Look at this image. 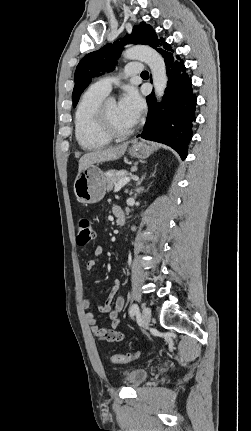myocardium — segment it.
Masks as SVG:
<instances>
[{"label": "myocardium", "instance_id": "obj_1", "mask_svg": "<svg viewBox=\"0 0 251 431\" xmlns=\"http://www.w3.org/2000/svg\"><path fill=\"white\" fill-rule=\"evenodd\" d=\"M110 99L104 100L97 111V127L99 131L110 139L124 138L131 135L135 130V125L126 130H119L113 126L108 114V103Z\"/></svg>", "mask_w": 251, "mask_h": 431}]
</instances>
